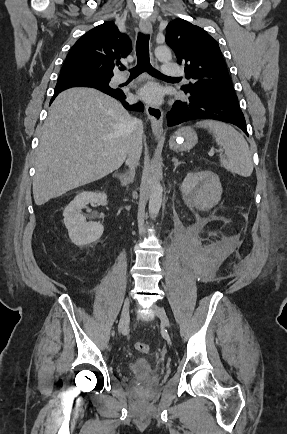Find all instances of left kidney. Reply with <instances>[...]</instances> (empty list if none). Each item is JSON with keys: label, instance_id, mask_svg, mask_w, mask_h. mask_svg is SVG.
I'll return each instance as SVG.
<instances>
[{"label": "left kidney", "instance_id": "obj_1", "mask_svg": "<svg viewBox=\"0 0 287 434\" xmlns=\"http://www.w3.org/2000/svg\"><path fill=\"white\" fill-rule=\"evenodd\" d=\"M181 191L189 203L210 208L221 199L222 186L218 175L211 171H201L188 173Z\"/></svg>", "mask_w": 287, "mask_h": 434}]
</instances>
